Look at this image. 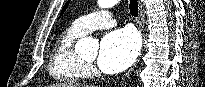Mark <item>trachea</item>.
I'll return each instance as SVG.
<instances>
[{
  "instance_id": "obj_1",
  "label": "trachea",
  "mask_w": 205,
  "mask_h": 87,
  "mask_svg": "<svg viewBox=\"0 0 205 87\" xmlns=\"http://www.w3.org/2000/svg\"><path fill=\"white\" fill-rule=\"evenodd\" d=\"M129 9H130V13L132 16H134V17L138 16V2H137V0H130Z\"/></svg>"
}]
</instances>
